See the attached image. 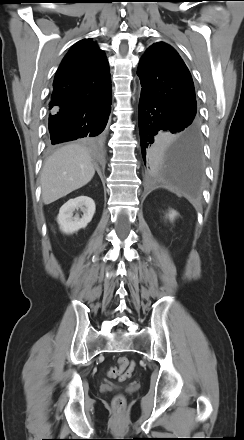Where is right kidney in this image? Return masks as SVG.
Wrapping results in <instances>:
<instances>
[{
    "label": "right kidney",
    "mask_w": 244,
    "mask_h": 440,
    "mask_svg": "<svg viewBox=\"0 0 244 440\" xmlns=\"http://www.w3.org/2000/svg\"><path fill=\"white\" fill-rule=\"evenodd\" d=\"M81 210L83 216L80 218L78 214L73 216L75 210ZM95 213V203L88 196H78L68 200L59 210L57 222L60 230L66 234H72L80 229L85 228L93 218Z\"/></svg>",
    "instance_id": "1"
}]
</instances>
